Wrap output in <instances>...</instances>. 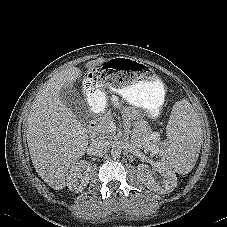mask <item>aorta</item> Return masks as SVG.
<instances>
[{"mask_svg":"<svg viewBox=\"0 0 227 227\" xmlns=\"http://www.w3.org/2000/svg\"><path fill=\"white\" fill-rule=\"evenodd\" d=\"M111 155H112V157H114V158L120 157V155H121V149H120L119 147H113V148L111 149Z\"/></svg>","mask_w":227,"mask_h":227,"instance_id":"obj_1","label":"aorta"}]
</instances>
